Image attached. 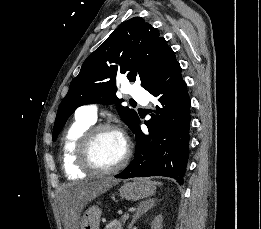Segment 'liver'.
I'll return each mask as SVG.
<instances>
[{"mask_svg":"<svg viewBox=\"0 0 261 229\" xmlns=\"http://www.w3.org/2000/svg\"><path fill=\"white\" fill-rule=\"evenodd\" d=\"M120 183L119 179H114V177H105V179H99V181H89V183H77V185H73V187H69V191L72 195L71 199L75 201V211L67 207L65 211V217L69 219L70 229H78L77 221L78 217L85 205L89 203V201H93L99 195H103L115 185Z\"/></svg>","mask_w":261,"mask_h":229,"instance_id":"6515ba94","label":"liver"}]
</instances>
